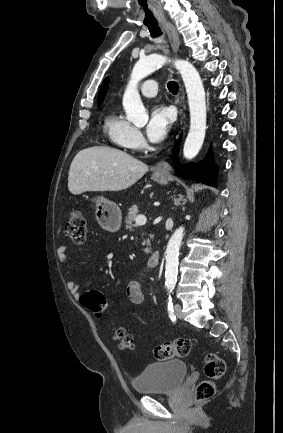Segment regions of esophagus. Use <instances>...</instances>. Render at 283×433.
<instances>
[{
	"label": "esophagus",
	"instance_id": "esophagus-1",
	"mask_svg": "<svg viewBox=\"0 0 283 433\" xmlns=\"http://www.w3.org/2000/svg\"><path fill=\"white\" fill-rule=\"evenodd\" d=\"M162 27L164 28L165 32L168 35L169 41H170V45L172 47V50L174 52L175 57L177 56V52L179 50V46H180V39H179V35L178 32L176 30V28L174 27V25H172V23L170 22H165L162 23ZM184 92L182 89V102L184 103ZM181 119L184 118V107L181 110ZM171 167L170 165L165 161V160H161L159 163H157L156 167L154 168V171L156 173H160V172H168L170 171Z\"/></svg>",
	"mask_w": 283,
	"mask_h": 433
}]
</instances>
